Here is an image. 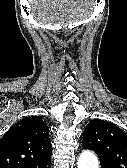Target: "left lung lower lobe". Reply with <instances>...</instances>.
<instances>
[{
	"mask_svg": "<svg viewBox=\"0 0 127 168\" xmlns=\"http://www.w3.org/2000/svg\"><path fill=\"white\" fill-rule=\"evenodd\" d=\"M101 168H106L105 166L101 165Z\"/></svg>",
	"mask_w": 127,
	"mask_h": 168,
	"instance_id": "0a47b994",
	"label": "left lung lower lobe"
}]
</instances>
